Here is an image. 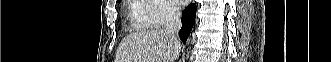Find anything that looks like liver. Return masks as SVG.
Listing matches in <instances>:
<instances>
[{"instance_id": "6515ba94", "label": "liver", "mask_w": 331, "mask_h": 62, "mask_svg": "<svg viewBox=\"0 0 331 62\" xmlns=\"http://www.w3.org/2000/svg\"><path fill=\"white\" fill-rule=\"evenodd\" d=\"M180 50L165 29L136 32L121 41L115 62H174Z\"/></svg>"}]
</instances>
